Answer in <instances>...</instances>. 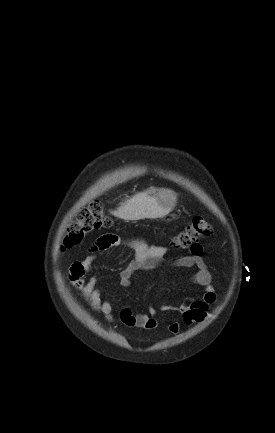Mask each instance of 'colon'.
Masks as SVG:
<instances>
[{"label":"colon","mask_w":275,"mask_h":433,"mask_svg":"<svg viewBox=\"0 0 275 433\" xmlns=\"http://www.w3.org/2000/svg\"><path fill=\"white\" fill-rule=\"evenodd\" d=\"M112 224L113 219L105 213L103 206L92 203L88 207L80 209L75 220L67 225L63 247L72 248L80 244L88 233L109 228ZM213 233V228L206 219L195 217L183 230L174 235L172 245L178 249L192 250L199 241L212 237Z\"/></svg>","instance_id":"5ec220e1"}]
</instances>
